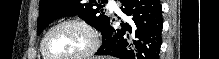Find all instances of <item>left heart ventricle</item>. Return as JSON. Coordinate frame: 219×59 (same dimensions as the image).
<instances>
[{
	"instance_id": "obj_1",
	"label": "left heart ventricle",
	"mask_w": 219,
	"mask_h": 59,
	"mask_svg": "<svg viewBox=\"0 0 219 59\" xmlns=\"http://www.w3.org/2000/svg\"><path fill=\"white\" fill-rule=\"evenodd\" d=\"M90 44V37L80 26L69 24L55 29L47 39L48 51L57 57L74 56Z\"/></svg>"
}]
</instances>
